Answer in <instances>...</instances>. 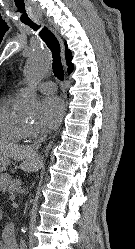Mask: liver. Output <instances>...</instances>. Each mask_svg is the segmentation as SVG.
<instances>
[{
	"label": "liver",
	"instance_id": "1",
	"mask_svg": "<svg viewBox=\"0 0 135 249\" xmlns=\"http://www.w3.org/2000/svg\"><path fill=\"white\" fill-rule=\"evenodd\" d=\"M0 155L21 161L20 169L25 172H36L41 166V159L31 146L15 145L0 142Z\"/></svg>",
	"mask_w": 135,
	"mask_h": 249
}]
</instances>
